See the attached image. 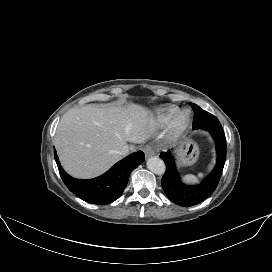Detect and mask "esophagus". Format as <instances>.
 <instances>
[{
    "label": "esophagus",
    "mask_w": 272,
    "mask_h": 272,
    "mask_svg": "<svg viewBox=\"0 0 272 272\" xmlns=\"http://www.w3.org/2000/svg\"><path fill=\"white\" fill-rule=\"evenodd\" d=\"M143 151H144L146 157H150V156L155 155V149L151 145L144 146Z\"/></svg>",
    "instance_id": "1"
}]
</instances>
